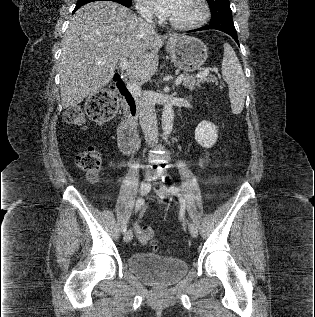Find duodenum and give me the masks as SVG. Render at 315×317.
<instances>
[{
    "instance_id": "410a0bca",
    "label": "duodenum",
    "mask_w": 315,
    "mask_h": 317,
    "mask_svg": "<svg viewBox=\"0 0 315 317\" xmlns=\"http://www.w3.org/2000/svg\"><path fill=\"white\" fill-rule=\"evenodd\" d=\"M114 83L120 94L125 110L134 115L136 111L135 99L126 87L125 82L119 77L114 78ZM118 144L122 152L135 153L139 148V137L135 124L130 118L124 120L118 127Z\"/></svg>"
}]
</instances>
